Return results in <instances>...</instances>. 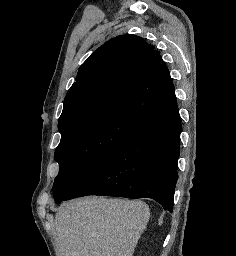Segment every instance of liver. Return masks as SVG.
Listing matches in <instances>:
<instances>
[{"label":"liver","mask_w":236,"mask_h":256,"mask_svg":"<svg viewBox=\"0 0 236 256\" xmlns=\"http://www.w3.org/2000/svg\"><path fill=\"white\" fill-rule=\"evenodd\" d=\"M141 200L87 196L61 204L54 220L57 256H133L149 222Z\"/></svg>","instance_id":"6515ba94"}]
</instances>
